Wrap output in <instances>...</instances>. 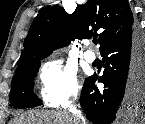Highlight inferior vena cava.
<instances>
[{"instance_id":"1","label":"inferior vena cava","mask_w":145,"mask_h":124,"mask_svg":"<svg viewBox=\"0 0 145 124\" xmlns=\"http://www.w3.org/2000/svg\"><path fill=\"white\" fill-rule=\"evenodd\" d=\"M73 119L75 124H85L84 118L80 111H76L73 113Z\"/></svg>"}]
</instances>
